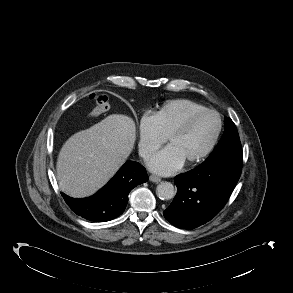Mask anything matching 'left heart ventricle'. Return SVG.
<instances>
[{
    "label": "left heart ventricle",
    "instance_id": "obj_1",
    "mask_svg": "<svg viewBox=\"0 0 293 293\" xmlns=\"http://www.w3.org/2000/svg\"><path fill=\"white\" fill-rule=\"evenodd\" d=\"M217 125V118L214 115H202L184 134L172 138L168 144L178 152L184 162H187L203 152L210 144Z\"/></svg>",
    "mask_w": 293,
    "mask_h": 293
}]
</instances>
